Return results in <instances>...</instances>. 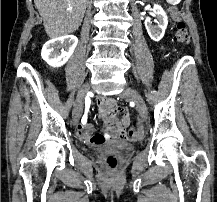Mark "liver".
Returning <instances> with one entry per match:
<instances>
[{
  "label": "liver",
  "instance_id": "obj_1",
  "mask_svg": "<svg viewBox=\"0 0 217 202\" xmlns=\"http://www.w3.org/2000/svg\"><path fill=\"white\" fill-rule=\"evenodd\" d=\"M88 0H34L47 36L61 38L81 26Z\"/></svg>",
  "mask_w": 217,
  "mask_h": 202
}]
</instances>
